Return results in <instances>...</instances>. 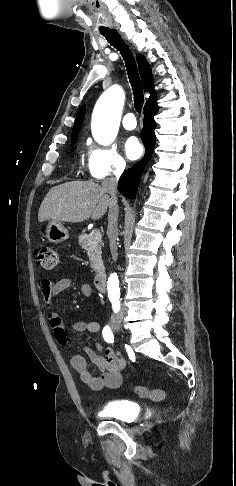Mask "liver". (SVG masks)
Segmentation results:
<instances>
[{"label":"liver","instance_id":"1","mask_svg":"<svg viewBox=\"0 0 236 486\" xmlns=\"http://www.w3.org/2000/svg\"><path fill=\"white\" fill-rule=\"evenodd\" d=\"M99 184L72 181L52 187L42 201L38 220L79 223L100 219L107 211L110 198Z\"/></svg>","mask_w":236,"mask_h":486}]
</instances>
